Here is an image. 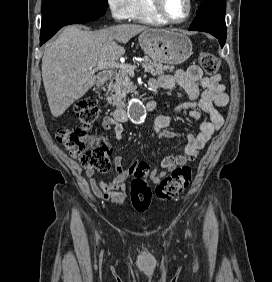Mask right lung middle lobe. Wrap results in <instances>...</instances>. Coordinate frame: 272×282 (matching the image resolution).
<instances>
[{"label": "right lung middle lobe", "instance_id": "obj_1", "mask_svg": "<svg viewBox=\"0 0 272 282\" xmlns=\"http://www.w3.org/2000/svg\"><path fill=\"white\" fill-rule=\"evenodd\" d=\"M72 7H99L103 9L108 8L107 0H43L42 15L49 12Z\"/></svg>", "mask_w": 272, "mask_h": 282}]
</instances>
